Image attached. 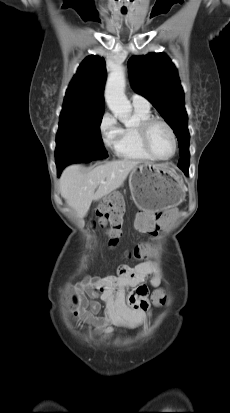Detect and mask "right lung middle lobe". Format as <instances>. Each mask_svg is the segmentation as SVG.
Returning <instances> with one entry per match:
<instances>
[{"label":"right lung middle lobe","instance_id":"dd1d6c3e","mask_svg":"<svg viewBox=\"0 0 230 413\" xmlns=\"http://www.w3.org/2000/svg\"><path fill=\"white\" fill-rule=\"evenodd\" d=\"M101 120L102 116L59 121L55 151L57 166L64 168L74 162L108 157L100 134Z\"/></svg>","mask_w":230,"mask_h":413}]
</instances>
